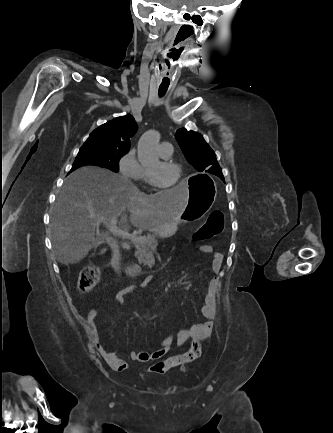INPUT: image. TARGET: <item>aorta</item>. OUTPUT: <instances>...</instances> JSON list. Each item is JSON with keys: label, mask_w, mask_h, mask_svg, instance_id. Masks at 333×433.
<instances>
[{"label": "aorta", "mask_w": 333, "mask_h": 433, "mask_svg": "<svg viewBox=\"0 0 333 433\" xmlns=\"http://www.w3.org/2000/svg\"><path fill=\"white\" fill-rule=\"evenodd\" d=\"M160 133L156 130L146 131L138 142V160L142 166L159 165L157 145L160 141Z\"/></svg>", "instance_id": "aorta-1"}]
</instances>
